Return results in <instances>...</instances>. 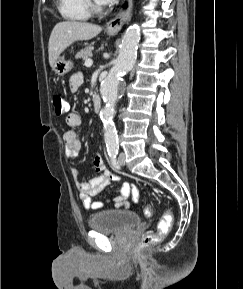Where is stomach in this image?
<instances>
[{
	"label": "stomach",
	"mask_w": 243,
	"mask_h": 289,
	"mask_svg": "<svg viewBox=\"0 0 243 289\" xmlns=\"http://www.w3.org/2000/svg\"><path fill=\"white\" fill-rule=\"evenodd\" d=\"M72 67L73 62L71 60H67L64 56H60L54 63L52 69L57 75L63 76L68 73Z\"/></svg>",
	"instance_id": "obj_1"
}]
</instances>
